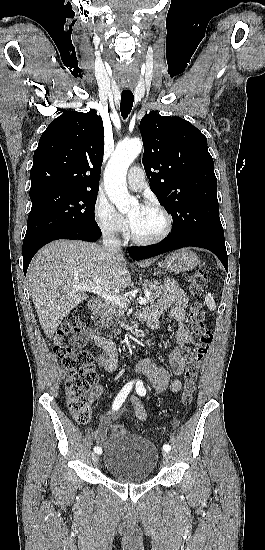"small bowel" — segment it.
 Instances as JSON below:
<instances>
[{
  "label": "small bowel",
  "mask_w": 265,
  "mask_h": 550,
  "mask_svg": "<svg viewBox=\"0 0 265 550\" xmlns=\"http://www.w3.org/2000/svg\"><path fill=\"white\" fill-rule=\"evenodd\" d=\"M188 299L186 294L179 288L173 280H166L164 284L163 295L150 307L143 308L138 313V317L144 320L151 330H158L161 327V315L165 310H170V316L175 322V342L176 346L169 356L171 371L177 375H182L185 363L190 356V344L193 336L185 326V307ZM71 342L78 348L93 342L101 353L97 361L108 372H114L118 369L120 358L113 342L104 336L95 332L93 328H88L85 332L74 336ZM137 372L142 375L150 384L153 394L157 395L170 387L171 391L179 392L182 389V381L179 378H171V371L161 366L152 357L142 359L136 366ZM136 418L140 421L147 419V412L141 401L132 396ZM122 409L108 411L99 420L95 431V440L102 442L106 435L108 425L116 420Z\"/></svg>",
  "instance_id": "small-bowel-1"
}]
</instances>
